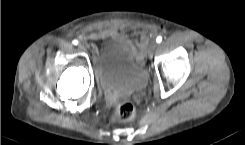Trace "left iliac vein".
<instances>
[{"instance_id":"obj_1","label":"left iliac vein","mask_w":245,"mask_h":145,"mask_svg":"<svg viewBox=\"0 0 245 145\" xmlns=\"http://www.w3.org/2000/svg\"><path fill=\"white\" fill-rule=\"evenodd\" d=\"M156 47H157V44L155 42H151V44L149 45L147 49V55L149 58H152Z\"/></svg>"}]
</instances>
